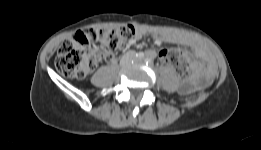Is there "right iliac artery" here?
<instances>
[{
    "instance_id": "right-iliac-artery-1",
    "label": "right iliac artery",
    "mask_w": 261,
    "mask_h": 150,
    "mask_svg": "<svg viewBox=\"0 0 261 150\" xmlns=\"http://www.w3.org/2000/svg\"><path fill=\"white\" fill-rule=\"evenodd\" d=\"M137 57H138V58H143V57H144V53H143V52H139V53L137 54Z\"/></svg>"
}]
</instances>
